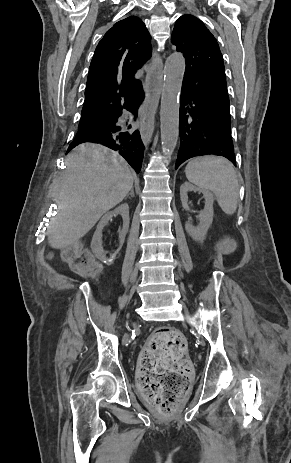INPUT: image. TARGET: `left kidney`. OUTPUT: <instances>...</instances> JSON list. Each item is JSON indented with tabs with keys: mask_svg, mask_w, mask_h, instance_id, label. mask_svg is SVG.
<instances>
[{
	"mask_svg": "<svg viewBox=\"0 0 291 463\" xmlns=\"http://www.w3.org/2000/svg\"><path fill=\"white\" fill-rule=\"evenodd\" d=\"M191 191H199L203 194V197L205 199V206L204 209L200 211L199 215L197 216V218L199 219V224L197 226H193L191 222H187V224L185 225V229L193 240L203 243V241L206 238L207 231L213 222L214 197L213 194L206 189L195 187L194 185L188 182L183 183L180 187V199L183 208L187 211H190L188 203V193Z\"/></svg>",
	"mask_w": 291,
	"mask_h": 463,
	"instance_id": "left-kidney-1",
	"label": "left kidney"
}]
</instances>
